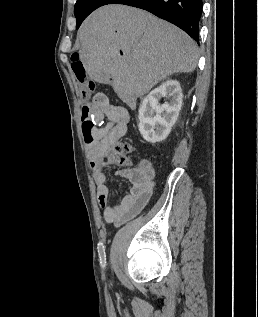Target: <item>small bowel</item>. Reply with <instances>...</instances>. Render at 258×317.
<instances>
[{
  "mask_svg": "<svg viewBox=\"0 0 258 317\" xmlns=\"http://www.w3.org/2000/svg\"><path fill=\"white\" fill-rule=\"evenodd\" d=\"M87 110L84 105L81 119ZM89 110L100 122L107 120L100 130L99 140L93 145H87L97 201L103 209L105 221L120 225L138 215L149 202L155 187V170L147 159L140 160L134 167L120 170L118 175L129 181L130 188L119 202L108 205L109 188L106 169L113 162L110 152L113 145L127 133L131 116L126 108L110 104L107 97L100 93L94 96Z\"/></svg>",
  "mask_w": 258,
  "mask_h": 317,
  "instance_id": "c3829d8e",
  "label": "small bowel"
}]
</instances>
